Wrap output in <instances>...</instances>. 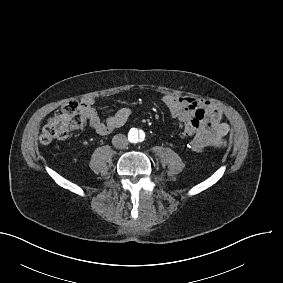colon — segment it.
Returning <instances> with one entry per match:
<instances>
[{
    "mask_svg": "<svg viewBox=\"0 0 283 283\" xmlns=\"http://www.w3.org/2000/svg\"><path fill=\"white\" fill-rule=\"evenodd\" d=\"M76 106L77 101L70 99L68 105L63 106L51 116L40 135V141L43 144L51 143L54 140H64L72 132L85 127L87 119ZM185 121L187 125L184 127V132L195 135L199 120L186 117Z\"/></svg>",
    "mask_w": 283,
    "mask_h": 283,
    "instance_id": "colon-1",
    "label": "colon"
}]
</instances>
